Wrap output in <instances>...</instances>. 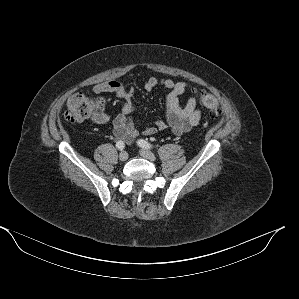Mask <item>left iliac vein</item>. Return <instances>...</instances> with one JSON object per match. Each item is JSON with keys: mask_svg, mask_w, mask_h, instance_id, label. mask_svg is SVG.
Instances as JSON below:
<instances>
[{"mask_svg": "<svg viewBox=\"0 0 299 299\" xmlns=\"http://www.w3.org/2000/svg\"><path fill=\"white\" fill-rule=\"evenodd\" d=\"M139 154L143 157V158H146L150 161H155L156 160V157L155 155L149 151V150H146V149H142L140 150Z\"/></svg>", "mask_w": 299, "mask_h": 299, "instance_id": "4c4485c4", "label": "left iliac vein"}]
</instances>
